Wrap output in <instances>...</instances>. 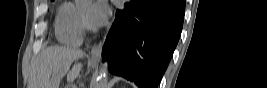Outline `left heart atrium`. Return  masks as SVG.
<instances>
[{
	"instance_id": "left-heart-atrium-1",
	"label": "left heart atrium",
	"mask_w": 267,
	"mask_h": 88,
	"mask_svg": "<svg viewBox=\"0 0 267 88\" xmlns=\"http://www.w3.org/2000/svg\"><path fill=\"white\" fill-rule=\"evenodd\" d=\"M108 15L109 8L106 2L97 1L90 7L87 20L93 26H102L107 21Z\"/></svg>"
}]
</instances>
